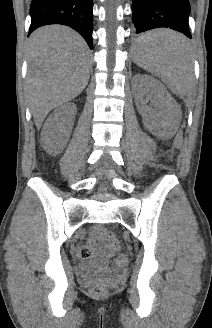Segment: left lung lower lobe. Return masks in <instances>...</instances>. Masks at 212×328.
Listing matches in <instances>:
<instances>
[{"instance_id": "1", "label": "left lung lower lobe", "mask_w": 212, "mask_h": 328, "mask_svg": "<svg viewBox=\"0 0 212 328\" xmlns=\"http://www.w3.org/2000/svg\"><path fill=\"white\" fill-rule=\"evenodd\" d=\"M132 22L136 33L153 28L167 27L191 38L188 25L190 4L188 0H132ZM141 37V36H140ZM138 37L136 45H151Z\"/></svg>"}]
</instances>
